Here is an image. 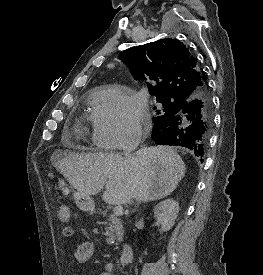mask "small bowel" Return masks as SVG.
Instances as JSON below:
<instances>
[{
  "instance_id": "1",
  "label": "small bowel",
  "mask_w": 263,
  "mask_h": 275,
  "mask_svg": "<svg viewBox=\"0 0 263 275\" xmlns=\"http://www.w3.org/2000/svg\"><path fill=\"white\" fill-rule=\"evenodd\" d=\"M73 234H74L73 228L71 227L64 228L63 230L64 237H71ZM73 256L77 263H86L93 258L94 247L90 242L84 241L77 246ZM100 275H113V266L111 264H106L104 267V271L101 272Z\"/></svg>"
}]
</instances>
